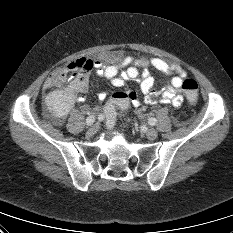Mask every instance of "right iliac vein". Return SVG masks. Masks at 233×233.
Returning a JSON list of instances; mask_svg holds the SVG:
<instances>
[{
	"mask_svg": "<svg viewBox=\"0 0 233 233\" xmlns=\"http://www.w3.org/2000/svg\"><path fill=\"white\" fill-rule=\"evenodd\" d=\"M97 130H98V125H93L89 128V130L87 131V134L89 136H92L97 132Z\"/></svg>",
	"mask_w": 233,
	"mask_h": 233,
	"instance_id": "obj_1",
	"label": "right iliac vein"
}]
</instances>
